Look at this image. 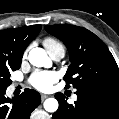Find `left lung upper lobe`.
Instances as JSON below:
<instances>
[{"instance_id":"5c2ea615","label":"left lung upper lobe","mask_w":119,"mask_h":119,"mask_svg":"<svg viewBox=\"0 0 119 119\" xmlns=\"http://www.w3.org/2000/svg\"><path fill=\"white\" fill-rule=\"evenodd\" d=\"M45 29L67 47L71 64L64 76L66 87L77 90H119V69L105 43L89 30L69 24L47 25Z\"/></svg>"}]
</instances>
